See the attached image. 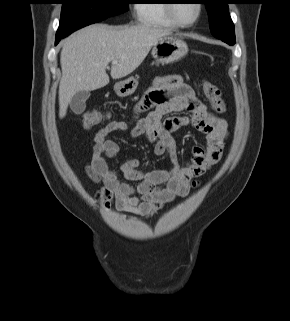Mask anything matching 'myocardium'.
Instances as JSON below:
<instances>
[{"instance_id":"f54148a6","label":"myocardium","mask_w":290,"mask_h":321,"mask_svg":"<svg viewBox=\"0 0 290 321\" xmlns=\"http://www.w3.org/2000/svg\"><path fill=\"white\" fill-rule=\"evenodd\" d=\"M196 6H197V15L196 17L190 21V22H184L181 19L178 18V16L175 13V6L176 3L174 2V0H168L167 2V11H168V15L169 17L172 19V21L180 27H191L194 24H196L198 22V20L200 19L202 12H203V5L201 2L196 1Z\"/></svg>"}]
</instances>
